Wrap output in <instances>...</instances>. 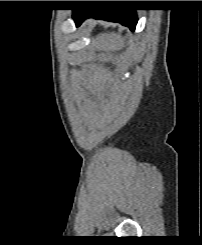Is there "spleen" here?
I'll list each match as a JSON object with an SVG mask.
<instances>
[{"label": "spleen", "instance_id": "obj_1", "mask_svg": "<svg viewBox=\"0 0 202 245\" xmlns=\"http://www.w3.org/2000/svg\"><path fill=\"white\" fill-rule=\"evenodd\" d=\"M94 46L97 50L103 51H117L124 46V39L122 36L116 33H105L97 37L94 42Z\"/></svg>", "mask_w": 202, "mask_h": 245}]
</instances>
